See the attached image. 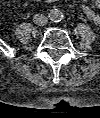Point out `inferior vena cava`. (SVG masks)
I'll return each instance as SVG.
<instances>
[{
    "label": "inferior vena cava",
    "mask_w": 100,
    "mask_h": 118,
    "mask_svg": "<svg viewBox=\"0 0 100 118\" xmlns=\"http://www.w3.org/2000/svg\"><path fill=\"white\" fill-rule=\"evenodd\" d=\"M33 22L38 26H44L48 23V18L44 14H36L33 17Z\"/></svg>",
    "instance_id": "1"
}]
</instances>
